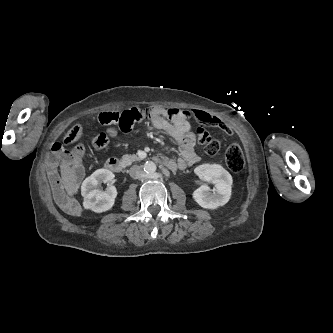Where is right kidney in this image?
Returning <instances> with one entry per match:
<instances>
[{
	"mask_svg": "<svg viewBox=\"0 0 333 333\" xmlns=\"http://www.w3.org/2000/svg\"><path fill=\"white\" fill-rule=\"evenodd\" d=\"M114 178L115 175L107 169H98L87 177L81 185L84 208L97 213L111 209L117 196L115 186L111 185ZM102 183L108 185L105 191L98 188Z\"/></svg>",
	"mask_w": 333,
	"mask_h": 333,
	"instance_id": "1",
	"label": "right kidney"
}]
</instances>
